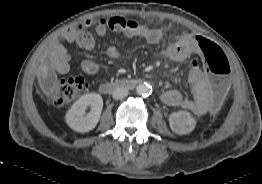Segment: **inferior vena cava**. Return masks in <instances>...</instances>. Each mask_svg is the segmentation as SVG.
I'll list each match as a JSON object with an SVG mask.
<instances>
[{
  "mask_svg": "<svg viewBox=\"0 0 262 184\" xmlns=\"http://www.w3.org/2000/svg\"><path fill=\"white\" fill-rule=\"evenodd\" d=\"M128 95V90L124 87H117L113 90L112 96L114 99H122Z\"/></svg>",
  "mask_w": 262,
  "mask_h": 184,
  "instance_id": "1",
  "label": "inferior vena cava"
}]
</instances>
